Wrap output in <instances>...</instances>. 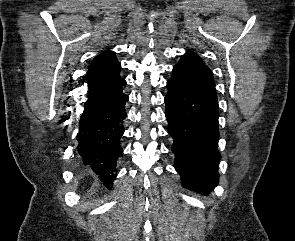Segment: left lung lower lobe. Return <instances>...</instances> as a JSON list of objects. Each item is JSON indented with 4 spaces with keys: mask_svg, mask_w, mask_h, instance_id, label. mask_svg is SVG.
Listing matches in <instances>:
<instances>
[{
    "mask_svg": "<svg viewBox=\"0 0 295 241\" xmlns=\"http://www.w3.org/2000/svg\"><path fill=\"white\" fill-rule=\"evenodd\" d=\"M167 87L165 115L174 141L175 169L184 187L208 195L219 178L218 100L198 92L174 72Z\"/></svg>",
    "mask_w": 295,
    "mask_h": 241,
    "instance_id": "1",
    "label": "left lung lower lobe"
}]
</instances>
